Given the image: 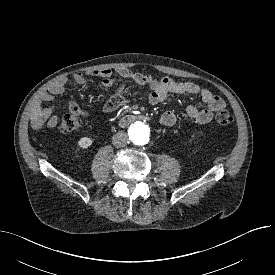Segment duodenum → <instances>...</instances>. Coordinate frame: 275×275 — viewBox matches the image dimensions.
<instances>
[{"label":"duodenum","instance_id":"obj_1","mask_svg":"<svg viewBox=\"0 0 275 275\" xmlns=\"http://www.w3.org/2000/svg\"><path fill=\"white\" fill-rule=\"evenodd\" d=\"M144 119H147L146 117L144 116H141V115H134V114H129V115H125L121 120H120V124L122 126H125V125H128L134 121H137V120H144Z\"/></svg>","mask_w":275,"mask_h":275}]
</instances>
